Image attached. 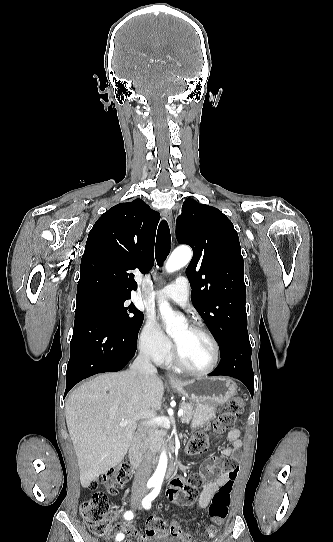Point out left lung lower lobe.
Returning <instances> with one entry per match:
<instances>
[{
  "label": "left lung lower lobe",
  "mask_w": 333,
  "mask_h": 542,
  "mask_svg": "<svg viewBox=\"0 0 333 542\" xmlns=\"http://www.w3.org/2000/svg\"><path fill=\"white\" fill-rule=\"evenodd\" d=\"M251 345L248 335L234 337L226 350L220 354L221 360L210 376H231L240 380L254 393V375L251 363Z\"/></svg>",
  "instance_id": "0a47b994"
}]
</instances>
